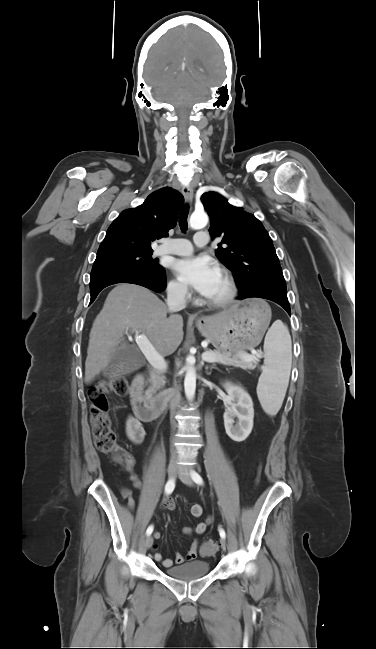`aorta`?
Returning <instances> with one entry per match:
<instances>
[{"instance_id": "762f6f07", "label": "aorta", "mask_w": 376, "mask_h": 649, "mask_svg": "<svg viewBox=\"0 0 376 649\" xmlns=\"http://www.w3.org/2000/svg\"><path fill=\"white\" fill-rule=\"evenodd\" d=\"M208 223V216L205 212H194L190 217V227L192 229H202ZM186 375L184 379V390L188 400H193L196 391V369L195 357L189 355L186 358Z\"/></svg>"}]
</instances>
